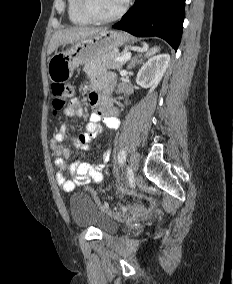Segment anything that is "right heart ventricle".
I'll list each match as a JSON object with an SVG mask.
<instances>
[{"label":"right heart ventricle","mask_w":233,"mask_h":284,"mask_svg":"<svg viewBox=\"0 0 233 284\" xmlns=\"http://www.w3.org/2000/svg\"><path fill=\"white\" fill-rule=\"evenodd\" d=\"M67 13L69 20L75 25H88L91 21L83 14L80 0H67Z\"/></svg>","instance_id":"right-heart-ventricle-1"}]
</instances>
